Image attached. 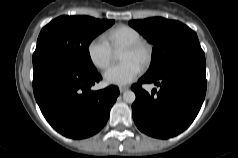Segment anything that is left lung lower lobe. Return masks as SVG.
<instances>
[{"instance_id":"left-lung-lower-lobe-1","label":"left lung lower lobe","mask_w":238,"mask_h":158,"mask_svg":"<svg viewBox=\"0 0 238 158\" xmlns=\"http://www.w3.org/2000/svg\"><path fill=\"white\" fill-rule=\"evenodd\" d=\"M143 83L160 86L147 93ZM205 56L176 62L154 77L143 76L132 85L136 100L132 115L143 133L170 138L184 131L197 116L206 94Z\"/></svg>"}]
</instances>
